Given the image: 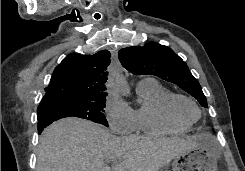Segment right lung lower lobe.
<instances>
[{
    "instance_id": "right-lung-lower-lobe-1",
    "label": "right lung lower lobe",
    "mask_w": 245,
    "mask_h": 171,
    "mask_svg": "<svg viewBox=\"0 0 245 171\" xmlns=\"http://www.w3.org/2000/svg\"><path fill=\"white\" fill-rule=\"evenodd\" d=\"M52 122H53V120H49V119L38 120V132H39V134L43 131V129L45 127H47Z\"/></svg>"
}]
</instances>
